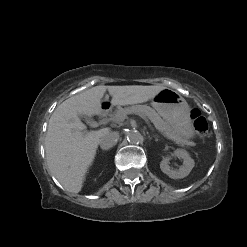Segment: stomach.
I'll return each mask as SVG.
<instances>
[{"mask_svg": "<svg viewBox=\"0 0 247 247\" xmlns=\"http://www.w3.org/2000/svg\"><path fill=\"white\" fill-rule=\"evenodd\" d=\"M151 104L181 139L187 141L195 137L189 105L177 91L165 88L152 99Z\"/></svg>", "mask_w": 247, "mask_h": 247, "instance_id": "stomach-1", "label": "stomach"}]
</instances>
